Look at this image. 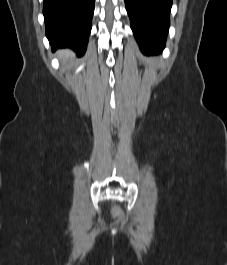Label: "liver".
<instances>
[{"label":"liver","mask_w":227,"mask_h":265,"mask_svg":"<svg viewBox=\"0 0 227 265\" xmlns=\"http://www.w3.org/2000/svg\"><path fill=\"white\" fill-rule=\"evenodd\" d=\"M59 57H60L61 61L66 62L67 60L72 58V53L68 50L67 51H61L59 54Z\"/></svg>","instance_id":"6515ba94"}]
</instances>
